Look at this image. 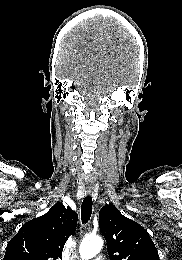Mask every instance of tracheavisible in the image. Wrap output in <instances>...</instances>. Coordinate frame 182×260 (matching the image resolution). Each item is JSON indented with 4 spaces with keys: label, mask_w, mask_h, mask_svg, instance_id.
I'll use <instances>...</instances> for the list:
<instances>
[{
    "label": "trachea",
    "mask_w": 182,
    "mask_h": 260,
    "mask_svg": "<svg viewBox=\"0 0 182 260\" xmlns=\"http://www.w3.org/2000/svg\"><path fill=\"white\" fill-rule=\"evenodd\" d=\"M92 214V197L86 196L81 205V220L85 224L90 220Z\"/></svg>",
    "instance_id": "obj_1"
}]
</instances>
